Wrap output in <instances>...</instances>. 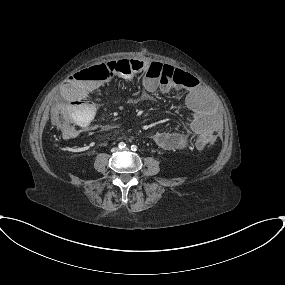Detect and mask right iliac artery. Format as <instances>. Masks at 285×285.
<instances>
[{"instance_id": "1", "label": "right iliac artery", "mask_w": 285, "mask_h": 285, "mask_svg": "<svg viewBox=\"0 0 285 285\" xmlns=\"http://www.w3.org/2000/svg\"><path fill=\"white\" fill-rule=\"evenodd\" d=\"M118 147H119L120 149H124V148L126 147V144H125L124 142H120L119 145H118Z\"/></svg>"}]
</instances>
